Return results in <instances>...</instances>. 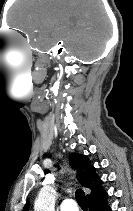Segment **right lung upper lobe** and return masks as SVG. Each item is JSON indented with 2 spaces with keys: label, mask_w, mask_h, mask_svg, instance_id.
<instances>
[{
  "label": "right lung upper lobe",
  "mask_w": 133,
  "mask_h": 211,
  "mask_svg": "<svg viewBox=\"0 0 133 211\" xmlns=\"http://www.w3.org/2000/svg\"><path fill=\"white\" fill-rule=\"evenodd\" d=\"M70 164L76 170L79 182L91 190V193L87 195L88 203L102 200L107 196L102 188V180L95 174V168L91 166L85 155L72 153ZM23 211H28V203Z\"/></svg>",
  "instance_id": "obj_1"
}]
</instances>
